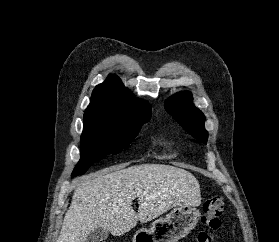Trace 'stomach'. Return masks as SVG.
I'll list each match as a JSON object with an SVG mask.
<instances>
[{"label":"stomach","instance_id":"stomach-1","mask_svg":"<svg viewBox=\"0 0 279 242\" xmlns=\"http://www.w3.org/2000/svg\"><path fill=\"white\" fill-rule=\"evenodd\" d=\"M200 212L194 206H175L165 218L157 219L149 229L138 230L133 242H178L197 225Z\"/></svg>","mask_w":279,"mask_h":242}]
</instances>
